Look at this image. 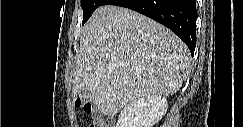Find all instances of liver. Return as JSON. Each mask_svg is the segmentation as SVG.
<instances>
[{
    "label": "liver",
    "instance_id": "liver-1",
    "mask_svg": "<svg viewBox=\"0 0 243 127\" xmlns=\"http://www.w3.org/2000/svg\"><path fill=\"white\" fill-rule=\"evenodd\" d=\"M189 68L187 46L168 28L127 8L101 6L83 28L72 93L88 91L113 117L135 99L176 93Z\"/></svg>",
    "mask_w": 243,
    "mask_h": 127
}]
</instances>
